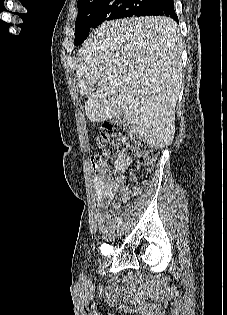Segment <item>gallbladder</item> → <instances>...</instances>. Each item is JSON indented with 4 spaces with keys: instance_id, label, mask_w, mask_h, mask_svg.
Masks as SVG:
<instances>
[{
    "instance_id": "bac80fb5",
    "label": "gallbladder",
    "mask_w": 227,
    "mask_h": 315,
    "mask_svg": "<svg viewBox=\"0 0 227 315\" xmlns=\"http://www.w3.org/2000/svg\"><path fill=\"white\" fill-rule=\"evenodd\" d=\"M116 119L119 123H125L127 121L125 113H121V115L119 117H116Z\"/></svg>"
}]
</instances>
